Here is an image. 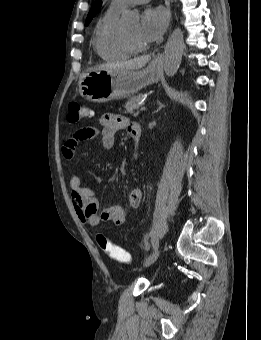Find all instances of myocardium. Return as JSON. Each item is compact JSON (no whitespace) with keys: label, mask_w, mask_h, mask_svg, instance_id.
Masks as SVG:
<instances>
[{"label":"myocardium","mask_w":261,"mask_h":340,"mask_svg":"<svg viewBox=\"0 0 261 340\" xmlns=\"http://www.w3.org/2000/svg\"><path fill=\"white\" fill-rule=\"evenodd\" d=\"M124 40L128 46V48L134 53H140L147 50L146 45L137 44L126 32H124Z\"/></svg>","instance_id":"obj_1"}]
</instances>
